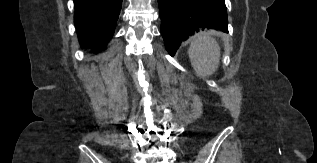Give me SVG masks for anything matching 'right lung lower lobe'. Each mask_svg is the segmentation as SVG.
I'll return each mask as SVG.
<instances>
[{
    "label": "right lung lower lobe",
    "instance_id": "obj_1",
    "mask_svg": "<svg viewBox=\"0 0 317 163\" xmlns=\"http://www.w3.org/2000/svg\"><path fill=\"white\" fill-rule=\"evenodd\" d=\"M122 0H74V22L80 44L94 52L106 47L120 14Z\"/></svg>",
    "mask_w": 317,
    "mask_h": 163
}]
</instances>
